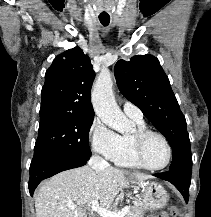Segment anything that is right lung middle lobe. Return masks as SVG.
I'll return each instance as SVG.
<instances>
[{"mask_svg":"<svg viewBox=\"0 0 211 217\" xmlns=\"http://www.w3.org/2000/svg\"><path fill=\"white\" fill-rule=\"evenodd\" d=\"M93 117L53 115L40 119L34 157L61 155L89 160L88 135Z\"/></svg>","mask_w":211,"mask_h":217,"instance_id":"obj_1","label":"right lung middle lobe"}]
</instances>
